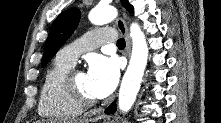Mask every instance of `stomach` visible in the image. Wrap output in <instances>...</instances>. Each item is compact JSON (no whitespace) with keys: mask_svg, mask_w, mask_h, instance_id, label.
<instances>
[{"mask_svg":"<svg viewBox=\"0 0 221 123\" xmlns=\"http://www.w3.org/2000/svg\"><path fill=\"white\" fill-rule=\"evenodd\" d=\"M103 123H113V122H106V121H105V122H103Z\"/></svg>","mask_w":221,"mask_h":123,"instance_id":"0dacf381","label":"stomach"}]
</instances>
